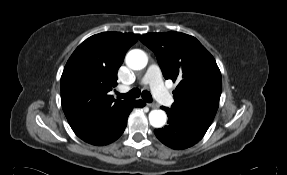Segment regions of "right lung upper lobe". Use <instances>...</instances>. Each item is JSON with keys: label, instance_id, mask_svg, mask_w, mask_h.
Here are the masks:
<instances>
[{"label": "right lung upper lobe", "instance_id": "right-lung-upper-lobe-1", "mask_svg": "<svg viewBox=\"0 0 287 175\" xmlns=\"http://www.w3.org/2000/svg\"><path fill=\"white\" fill-rule=\"evenodd\" d=\"M132 33L104 32L82 42L61 76V101L74 133L88 138L111 124L131 101L114 99L117 72L126 51L139 39Z\"/></svg>", "mask_w": 287, "mask_h": 175}]
</instances>
